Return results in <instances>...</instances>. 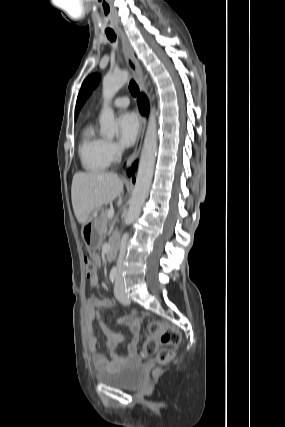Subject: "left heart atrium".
<instances>
[{"instance_id":"1","label":"left heart atrium","mask_w":285,"mask_h":427,"mask_svg":"<svg viewBox=\"0 0 285 427\" xmlns=\"http://www.w3.org/2000/svg\"><path fill=\"white\" fill-rule=\"evenodd\" d=\"M120 143L125 147L131 146L139 133V120L138 117L132 112L123 113L118 119Z\"/></svg>"}]
</instances>
